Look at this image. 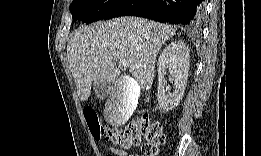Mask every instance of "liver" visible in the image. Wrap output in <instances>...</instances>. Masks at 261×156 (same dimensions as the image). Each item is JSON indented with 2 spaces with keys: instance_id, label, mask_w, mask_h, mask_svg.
<instances>
[{
  "instance_id": "obj_1",
  "label": "liver",
  "mask_w": 261,
  "mask_h": 156,
  "mask_svg": "<svg viewBox=\"0 0 261 156\" xmlns=\"http://www.w3.org/2000/svg\"><path fill=\"white\" fill-rule=\"evenodd\" d=\"M176 28L140 17H120L89 26H81L71 35L67 56L81 101H87L92 83H113L120 75V60L129 63L135 83L148 90L154 80L156 58ZM135 107L127 95L114 90L104 114L111 112L113 125L124 124Z\"/></svg>"
}]
</instances>
